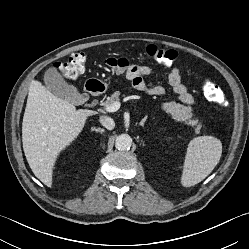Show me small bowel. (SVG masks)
Segmentation results:
<instances>
[{
    "label": "small bowel",
    "mask_w": 249,
    "mask_h": 249,
    "mask_svg": "<svg viewBox=\"0 0 249 249\" xmlns=\"http://www.w3.org/2000/svg\"><path fill=\"white\" fill-rule=\"evenodd\" d=\"M125 61L128 63L127 68L118 72L124 73L136 90L145 91L152 95H162L164 93L165 90L162 86L157 85L149 87L145 82L144 78L151 72L149 67L130 64L126 59ZM168 82L182 103L187 105L194 103V96L190 93L186 85L183 84L181 72L178 68H173L170 71L168 75Z\"/></svg>",
    "instance_id": "c3829d8e"
}]
</instances>
